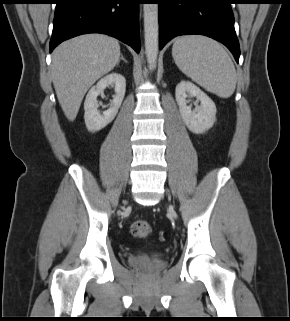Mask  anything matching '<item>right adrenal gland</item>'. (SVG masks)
Wrapping results in <instances>:
<instances>
[{
    "mask_svg": "<svg viewBox=\"0 0 290 321\" xmlns=\"http://www.w3.org/2000/svg\"><path fill=\"white\" fill-rule=\"evenodd\" d=\"M120 60H123L125 63H128L127 60L123 57V55L121 54ZM120 62V61H119ZM119 62L117 65H119Z\"/></svg>",
    "mask_w": 290,
    "mask_h": 321,
    "instance_id": "1",
    "label": "right adrenal gland"
}]
</instances>
